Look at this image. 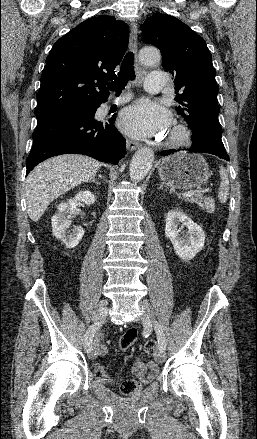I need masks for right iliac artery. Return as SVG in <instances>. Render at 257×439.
<instances>
[{
  "instance_id": "1",
  "label": "right iliac artery",
  "mask_w": 257,
  "mask_h": 439,
  "mask_svg": "<svg viewBox=\"0 0 257 439\" xmlns=\"http://www.w3.org/2000/svg\"><path fill=\"white\" fill-rule=\"evenodd\" d=\"M101 323L100 322H96L94 324H92L86 334H85V340H84V349L87 353H89L92 350V341H93V337L95 336L97 330L99 329Z\"/></svg>"
}]
</instances>
